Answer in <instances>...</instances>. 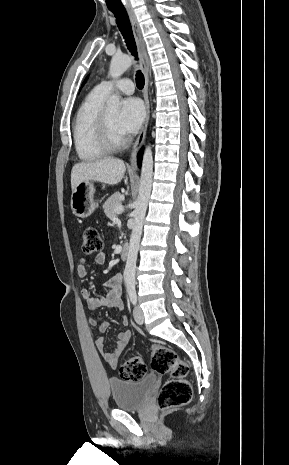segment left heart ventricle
Masks as SVG:
<instances>
[{
  "label": "left heart ventricle",
  "instance_id": "left-heart-ventricle-1",
  "mask_svg": "<svg viewBox=\"0 0 289 465\" xmlns=\"http://www.w3.org/2000/svg\"><path fill=\"white\" fill-rule=\"evenodd\" d=\"M107 115L111 124V127L118 137H123L121 132L119 131L117 120H118V115H119V110L117 109H107Z\"/></svg>",
  "mask_w": 289,
  "mask_h": 465
}]
</instances>
